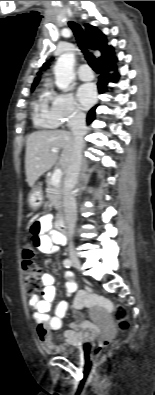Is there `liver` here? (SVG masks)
Masks as SVG:
<instances>
[{
	"label": "liver",
	"instance_id": "liver-1",
	"mask_svg": "<svg viewBox=\"0 0 155 395\" xmlns=\"http://www.w3.org/2000/svg\"><path fill=\"white\" fill-rule=\"evenodd\" d=\"M74 138L65 130L37 131L29 135L26 142L25 170L27 182L32 187L36 180L50 170L59 160L65 171L73 151ZM62 149L60 157L51 149Z\"/></svg>",
	"mask_w": 155,
	"mask_h": 395
}]
</instances>
